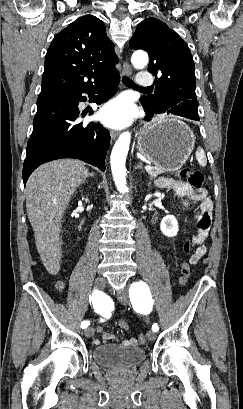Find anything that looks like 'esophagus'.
Masks as SVG:
<instances>
[{"label":"esophagus","instance_id":"1","mask_svg":"<svg viewBox=\"0 0 243 409\" xmlns=\"http://www.w3.org/2000/svg\"><path fill=\"white\" fill-rule=\"evenodd\" d=\"M131 73H132L131 66L129 65V63L127 61H124L123 62L122 74L123 75H131ZM118 135H119L118 131H115V130L110 131L111 138L115 139V138H117Z\"/></svg>","mask_w":243,"mask_h":409}]
</instances>
